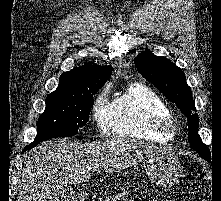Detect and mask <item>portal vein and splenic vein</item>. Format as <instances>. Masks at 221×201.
Masks as SVG:
<instances>
[{"label":"portal vein and splenic vein","mask_w":221,"mask_h":201,"mask_svg":"<svg viewBox=\"0 0 221 201\" xmlns=\"http://www.w3.org/2000/svg\"><path fill=\"white\" fill-rule=\"evenodd\" d=\"M96 169H100V166H97ZM128 195V192H123L119 194L115 199L123 198L124 196Z\"/></svg>","instance_id":"obj_1"}]
</instances>
